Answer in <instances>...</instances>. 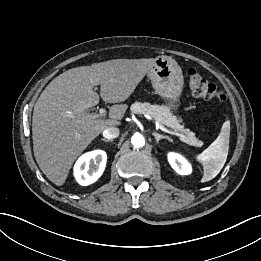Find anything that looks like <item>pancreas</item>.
<instances>
[{"instance_id":"pancreas-1","label":"pancreas","mask_w":261,"mask_h":261,"mask_svg":"<svg viewBox=\"0 0 261 261\" xmlns=\"http://www.w3.org/2000/svg\"><path fill=\"white\" fill-rule=\"evenodd\" d=\"M131 112L135 114H147L153 117L156 121L167 127L172 128L175 131L183 132L185 135L181 136V141L195 147H201L203 142L195 137L193 132L188 129H184L183 125H180V119L172 114L169 108L160 105H151L149 103L135 102L131 105Z\"/></svg>"}]
</instances>
